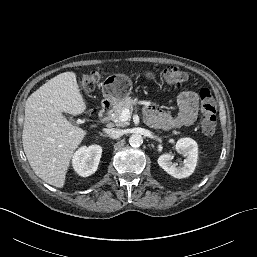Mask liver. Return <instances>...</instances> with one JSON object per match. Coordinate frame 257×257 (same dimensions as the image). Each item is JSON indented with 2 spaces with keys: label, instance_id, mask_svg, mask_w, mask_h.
Listing matches in <instances>:
<instances>
[{
  "label": "liver",
  "instance_id": "6515ba94",
  "mask_svg": "<svg viewBox=\"0 0 257 257\" xmlns=\"http://www.w3.org/2000/svg\"><path fill=\"white\" fill-rule=\"evenodd\" d=\"M86 108L74 72L50 79L26 101L24 152L34 173L52 186H64L71 158L87 134L63 113L77 116Z\"/></svg>",
  "mask_w": 257,
  "mask_h": 257
}]
</instances>
